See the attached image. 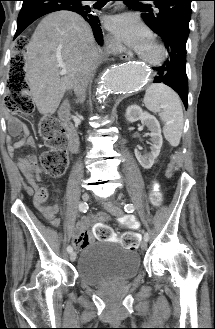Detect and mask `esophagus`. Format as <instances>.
<instances>
[{
    "mask_svg": "<svg viewBox=\"0 0 215 329\" xmlns=\"http://www.w3.org/2000/svg\"><path fill=\"white\" fill-rule=\"evenodd\" d=\"M120 58L122 60H129L131 58V55H129V54H121L120 55Z\"/></svg>",
    "mask_w": 215,
    "mask_h": 329,
    "instance_id": "esophagus-1",
    "label": "esophagus"
}]
</instances>
